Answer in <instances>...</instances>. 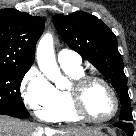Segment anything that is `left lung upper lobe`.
I'll return each instance as SVG.
<instances>
[{"label":"left lung upper lobe","mask_w":136,"mask_h":136,"mask_svg":"<svg viewBox=\"0 0 136 136\" xmlns=\"http://www.w3.org/2000/svg\"><path fill=\"white\" fill-rule=\"evenodd\" d=\"M53 21L70 48L93 64L112 84L122 107L120 121L131 122L130 98L115 34L96 16L85 12L57 14Z\"/></svg>","instance_id":"left-lung-upper-lobe-1"}]
</instances>
